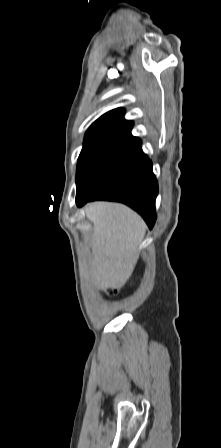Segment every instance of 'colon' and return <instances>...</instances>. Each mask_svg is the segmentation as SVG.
<instances>
[{"mask_svg":"<svg viewBox=\"0 0 221 448\" xmlns=\"http://www.w3.org/2000/svg\"><path fill=\"white\" fill-rule=\"evenodd\" d=\"M109 293H110V294H116V293H117V290H113V289H111V290H109Z\"/></svg>","mask_w":221,"mask_h":448,"instance_id":"1","label":"colon"}]
</instances>
